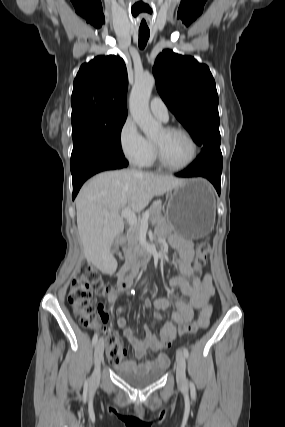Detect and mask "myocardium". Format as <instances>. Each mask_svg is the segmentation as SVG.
Wrapping results in <instances>:
<instances>
[{
	"label": "myocardium",
	"mask_w": 285,
	"mask_h": 427,
	"mask_svg": "<svg viewBox=\"0 0 285 427\" xmlns=\"http://www.w3.org/2000/svg\"><path fill=\"white\" fill-rule=\"evenodd\" d=\"M164 131L166 133H181V134L185 135L191 143L192 153H191V156L187 162H185L184 164L179 165V166H174V165H171V164L166 162V160L163 157L162 150H161L160 146L157 143L153 142V148H154L156 161L158 162V164L162 168L170 170V171H181V170L187 169L188 167H190L195 162V160L198 156V144H197L195 138L186 128L181 127V126H167L164 128Z\"/></svg>",
	"instance_id": "1"
}]
</instances>
